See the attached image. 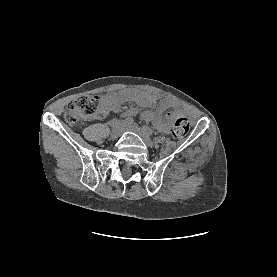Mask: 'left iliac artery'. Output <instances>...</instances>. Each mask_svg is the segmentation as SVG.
Returning a JSON list of instances; mask_svg holds the SVG:
<instances>
[{
  "label": "left iliac artery",
  "mask_w": 277,
  "mask_h": 277,
  "mask_svg": "<svg viewBox=\"0 0 277 277\" xmlns=\"http://www.w3.org/2000/svg\"><path fill=\"white\" fill-rule=\"evenodd\" d=\"M142 130L147 134L152 136L154 134L153 130L149 128L148 126H142Z\"/></svg>",
  "instance_id": "obj_1"
}]
</instances>
